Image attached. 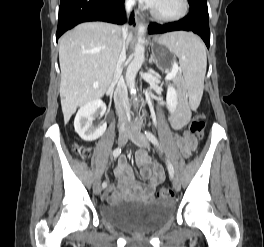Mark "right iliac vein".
I'll use <instances>...</instances> for the list:
<instances>
[{
  "label": "right iliac vein",
  "mask_w": 264,
  "mask_h": 247,
  "mask_svg": "<svg viewBox=\"0 0 264 247\" xmlns=\"http://www.w3.org/2000/svg\"><path fill=\"white\" fill-rule=\"evenodd\" d=\"M128 136H129V131L128 130H123L120 131L119 136H118V144L120 146H123L126 144L127 140H128ZM94 192L95 194L99 195L101 193V186H100V182H96L94 185Z\"/></svg>",
  "instance_id": "1"
}]
</instances>
